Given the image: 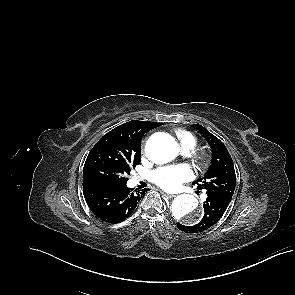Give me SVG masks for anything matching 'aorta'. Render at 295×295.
Returning a JSON list of instances; mask_svg holds the SVG:
<instances>
[{"instance_id": "762f6f07", "label": "aorta", "mask_w": 295, "mask_h": 295, "mask_svg": "<svg viewBox=\"0 0 295 295\" xmlns=\"http://www.w3.org/2000/svg\"><path fill=\"white\" fill-rule=\"evenodd\" d=\"M145 152L151 161L164 164L177 157L179 147L171 135L156 133L148 139ZM198 205V200L193 195L182 194L173 200L171 212L176 220L194 225L201 219V213L198 212Z\"/></svg>"}]
</instances>
